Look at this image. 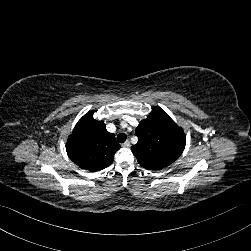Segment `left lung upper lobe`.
Wrapping results in <instances>:
<instances>
[{
  "mask_svg": "<svg viewBox=\"0 0 251 251\" xmlns=\"http://www.w3.org/2000/svg\"><path fill=\"white\" fill-rule=\"evenodd\" d=\"M138 142L131 147L139 164L160 170L176 161L185 148V134L164 110L154 107L136 128Z\"/></svg>",
  "mask_w": 251,
  "mask_h": 251,
  "instance_id": "5c2ea615",
  "label": "left lung upper lobe"
}]
</instances>
